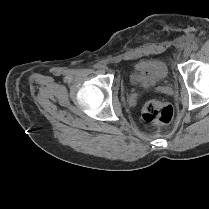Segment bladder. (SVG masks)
<instances>
[{"mask_svg": "<svg viewBox=\"0 0 209 209\" xmlns=\"http://www.w3.org/2000/svg\"><path fill=\"white\" fill-rule=\"evenodd\" d=\"M167 79L168 68L164 61L157 58L137 61L129 73L131 84L143 89L160 85Z\"/></svg>", "mask_w": 209, "mask_h": 209, "instance_id": "obj_1", "label": "bladder"}]
</instances>
